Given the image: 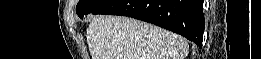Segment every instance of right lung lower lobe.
Wrapping results in <instances>:
<instances>
[{"label":"right lung lower lobe","instance_id":"right-lung-lower-lobe-1","mask_svg":"<svg viewBox=\"0 0 261 59\" xmlns=\"http://www.w3.org/2000/svg\"><path fill=\"white\" fill-rule=\"evenodd\" d=\"M92 14L122 15L146 21L202 46L203 0H110Z\"/></svg>","mask_w":261,"mask_h":59}]
</instances>
